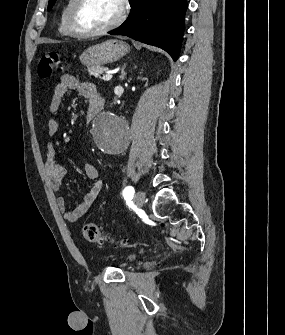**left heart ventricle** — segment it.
<instances>
[{"instance_id":"obj_1","label":"left heart ventricle","mask_w":285,"mask_h":335,"mask_svg":"<svg viewBox=\"0 0 285 335\" xmlns=\"http://www.w3.org/2000/svg\"><path fill=\"white\" fill-rule=\"evenodd\" d=\"M116 12V1H89L82 8L80 22L87 29H101L114 19Z\"/></svg>"}]
</instances>
